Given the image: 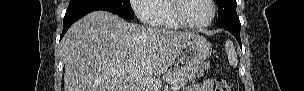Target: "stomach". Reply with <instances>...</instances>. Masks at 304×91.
<instances>
[{
  "mask_svg": "<svg viewBox=\"0 0 304 91\" xmlns=\"http://www.w3.org/2000/svg\"><path fill=\"white\" fill-rule=\"evenodd\" d=\"M212 54L211 45L202 37L186 42L178 51L177 59L187 67H200Z\"/></svg>",
  "mask_w": 304,
  "mask_h": 91,
  "instance_id": "stomach-1",
  "label": "stomach"
}]
</instances>
